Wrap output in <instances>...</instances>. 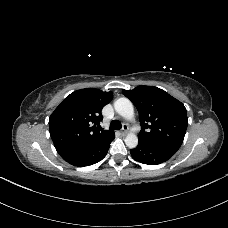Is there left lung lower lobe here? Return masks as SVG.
<instances>
[{"label": "left lung lower lobe", "instance_id": "0a47b994", "mask_svg": "<svg viewBox=\"0 0 228 228\" xmlns=\"http://www.w3.org/2000/svg\"><path fill=\"white\" fill-rule=\"evenodd\" d=\"M178 149L165 145H151L138 143V146L130 150L132 157L141 163L152 165L161 164L169 160Z\"/></svg>", "mask_w": 228, "mask_h": 228}]
</instances>
